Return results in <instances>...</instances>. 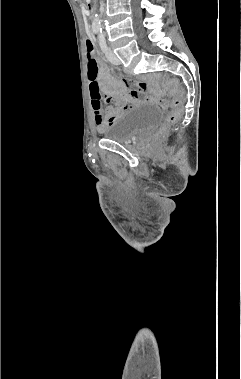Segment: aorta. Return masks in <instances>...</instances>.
<instances>
[{
	"instance_id": "1",
	"label": "aorta",
	"mask_w": 241,
	"mask_h": 379,
	"mask_svg": "<svg viewBox=\"0 0 241 379\" xmlns=\"http://www.w3.org/2000/svg\"><path fill=\"white\" fill-rule=\"evenodd\" d=\"M92 26L98 30L101 29V22H100V19L98 17V15L96 14L94 19H93V23H92Z\"/></svg>"
}]
</instances>
